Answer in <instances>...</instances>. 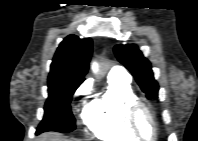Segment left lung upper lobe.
Masks as SVG:
<instances>
[{
  "label": "left lung upper lobe",
  "mask_w": 198,
  "mask_h": 141,
  "mask_svg": "<svg viewBox=\"0 0 198 141\" xmlns=\"http://www.w3.org/2000/svg\"><path fill=\"white\" fill-rule=\"evenodd\" d=\"M115 55L135 77L142 91L149 99L158 98V84L153 77L150 62L143 56L136 45H117Z\"/></svg>",
  "instance_id": "5c2ea615"
}]
</instances>
